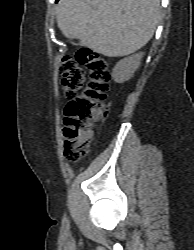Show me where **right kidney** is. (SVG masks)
I'll list each match as a JSON object with an SVG mask.
<instances>
[{"label": "right kidney", "instance_id": "obj_1", "mask_svg": "<svg viewBox=\"0 0 194 250\" xmlns=\"http://www.w3.org/2000/svg\"><path fill=\"white\" fill-rule=\"evenodd\" d=\"M143 53H137L120 60L113 69L112 78L116 83H123L133 77L140 66Z\"/></svg>", "mask_w": 194, "mask_h": 250}]
</instances>
